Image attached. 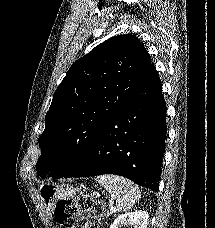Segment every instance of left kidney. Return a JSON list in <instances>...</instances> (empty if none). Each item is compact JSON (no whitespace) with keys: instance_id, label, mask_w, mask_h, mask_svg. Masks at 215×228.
<instances>
[{"instance_id":"left-kidney-1","label":"left kidney","mask_w":215,"mask_h":228,"mask_svg":"<svg viewBox=\"0 0 215 228\" xmlns=\"http://www.w3.org/2000/svg\"><path fill=\"white\" fill-rule=\"evenodd\" d=\"M148 212H129V214H122L114 220L110 228H147L148 226Z\"/></svg>"}]
</instances>
